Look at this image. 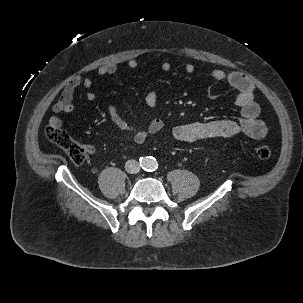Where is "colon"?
Returning a JSON list of instances; mask_svg holds the SVG:
<instances>
[{
	"mask_svg": "<svg viewBox=\"0 0 303 303\" xmlns=\"http://www.w3.org/2000/svg\"><path fill=\"white\" fill-rule=\"evenodd\" d=\"M45 134L47 139L59 147L73 163L82 164L86 160V150L60 126L49 124ZM253 153L257 158L263 160L270 158L272 154L271 149L267 146H256Z\"/></svg>",
	"mask_w": 303,
	"mask_h": 303,
	"instance_id": "1",
	"label": "colon"
}]
</instances>
